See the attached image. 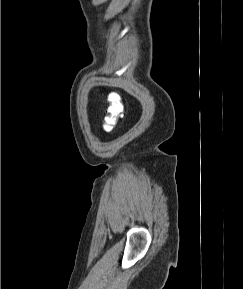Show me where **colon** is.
I'll return each instance as SVG.
<instances>
[{
	"label": "colon",
	"mask_w": 243,
	"mask_h": 289,
	"mask_svg": "<svg viewBox=\"0 0 243 289\" xmlns=\"http://www.w3.org/2000/svg\"><path fill=\"white\" fill-rule=\"evenodd\" d=\"M107 101L109 106L107 111L108 113L103 124V129L105 132L109 133L114 129L119 117L123 114L124 105L120 94L115 92L108 96Z\"/></svg>",
	"instance_id": "colon-1"
}]
</instances>
